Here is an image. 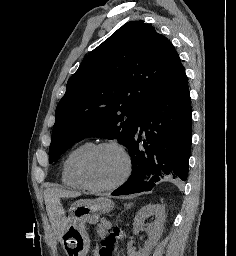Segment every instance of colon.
Wrapping results in <instances>:
<instances>
[{"mask_svg": "<svg viewBox=\"0 0 236 256\" xmlns=\"http://www.w3.org/2000/svg\"><path fill=\"white\" fill-rule=\"evenodd\" d=\"M118 240L119 230H112L109 234L103 236L97 256H116Z\"/></svg>", "mask_w": 236, "mask_h": 256, "instance_id": "colon-1", "label": "colon"}]
</instances>
